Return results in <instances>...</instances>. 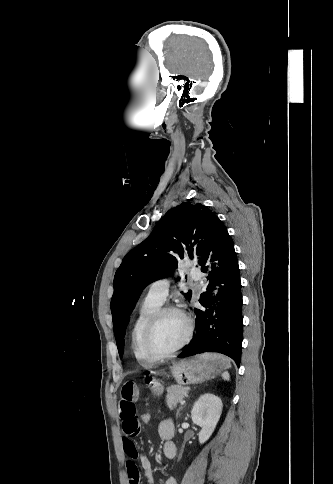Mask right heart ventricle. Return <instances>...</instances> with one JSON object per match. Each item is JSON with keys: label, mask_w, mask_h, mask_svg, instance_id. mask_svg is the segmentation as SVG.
I'll return each mask as SVG.
<instances>
[{"label": "right heart ventricle", "mask_w": 333, "mask_h": 484, "mask_svg": "<svg viewBox=\"0 0 333 484\" xmlns=\"http://www.w3.org/2000/svg\"><path fill=\"white\" fill-rule=\"evenodd\" d=\"M161 303H158L148 297H146L138 311V314L133 323L131 331V347L133 354L137 361L143 366L152 365L155 360L146 355L142 346V339L145 326L151 316L161 307Z\"/></svg>", "instance_id": "1"}]
</instances>
